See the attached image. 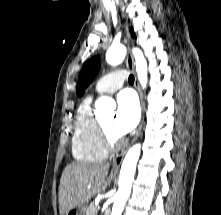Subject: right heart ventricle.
Instances as JSON below:
<instances>
[{
  "label": "right heart ventricle",
  "mask_w": 221,
  "mask_h": 215,
  "mask_svg": "<svg viewBox=\"0 0 221 215\" xmlns=\"http://www.w3.org/2000/svg\"><path fill=\"white\" fill-rule=\"evenodd\" d=\"M72 155L77 161L95 162L107 156L99 133L98 120L92 111V97H86L79 105L72 136Z\"/></svg>",
  "instance_id": "obj_1"
}]
</instances>
